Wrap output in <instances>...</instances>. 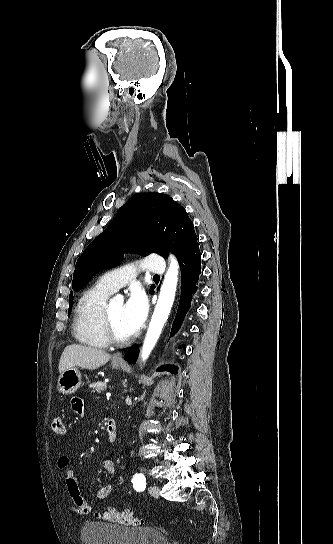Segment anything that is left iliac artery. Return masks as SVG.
I'll list each match as a JSON object with an SVG mask.
<instances>
[{
    "mask_svg": "<svg viewBox=\"0 0 333 544\" xmlns=\"http://www.w3.org/2000/svg\"><path fill=\"white\" fill-rule=\"evenodd\" d=\"M132 484L136 491H144L146 487V479L142 473H136L132 478Z\"/></svg>",
    "mask_w": 333,
    "mask_h": 544,
    "instance_id": "44dca946",
    "label": "left iliac artery"
}]
</instances>
